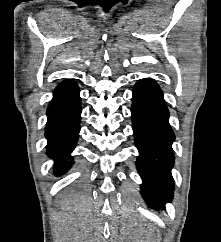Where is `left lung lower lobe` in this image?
Returning a JSON list of instances; mask_svg holds the SVG:
<instances>
[{
    "label": "left lung lower lobe",
    "mask_w": 221,
    "mask_h": 242,
    "mask_svg": "<svg viewBox=\"0 0 221 242\" xmlns=\"http://www.w3.org/2000/svg\"><path fill=\"white\" fill-rule=\"evenodd\" d=\"M132 122L136 162L143 179L141 194L149 207L165 208L173 196L171 175L174 157L171 144L175 135L169 126V112L163 93L153 79H140L133 89Z\"/></svg>",
    "instance_id": "obj_1"
}]
</instances>
